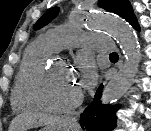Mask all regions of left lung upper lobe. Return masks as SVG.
<instances>
[{"label": "left lung upper lobe", "instance_id": "obj_1", "mask_svg": "<svg viewBox=\"0 0 151 131\" xmlns=\"http://www.w3.org/2000/svg\"><path fill=\"white\" fill-rule=\"evenodd\" d=\"M98 5L108 11L114 12L129 22H132L135 16L128 0H99ZM59 12L58 7H53L44 13L35 23L34 29H39L48 24L56 17Z\"/></svg>", "mask_w": 151, "mask_h": 131}]
</instances>
